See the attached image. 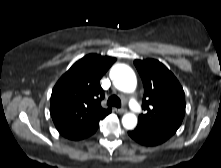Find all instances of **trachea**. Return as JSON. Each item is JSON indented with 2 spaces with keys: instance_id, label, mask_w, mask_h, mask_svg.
I'll list each match as a JSON object with an SVG mask.
<instances>
[{
  "instance_id": "trachea-1",
  "label": "trachea",
  "mask_w": 221,
  "mask_h": 168,
  "mask_svg": "<svg viewBox=\"0 0 221 168\" xmlns=\"http://www.w3.org/2000/svg\"><path fill=\"white\" fill-rule=\"evenodd\" d=\"M107 104L110 106H115L117 108H120L121 107V100L116 95H112L111 97H109Z\"/></svg>"
}]
</instances>
